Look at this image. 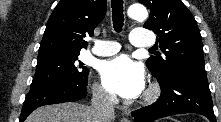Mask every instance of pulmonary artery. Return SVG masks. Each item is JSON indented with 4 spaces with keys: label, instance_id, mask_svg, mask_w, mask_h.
Instances as JSON below:
<instances>
[{
    "label": "pulmonary artery",
    "instance_id": "obj_1",
    "mask_svg": "<svg viewBox=\"0 0 221 122\" xmlns=\"http://www.w3.org/2000/svg\"><path fill=\"white\" fill-rule=\"evenodd\" d=\"M130 43L135 47H150L153 45V39L143 30L134 29L129 37ZM121 46L116 41L98 40L92 48V53L97 56H110L116 54Z\"/></svg>",
    "mask_w": 221,
    "mask_h": 122
}]
</instances>
